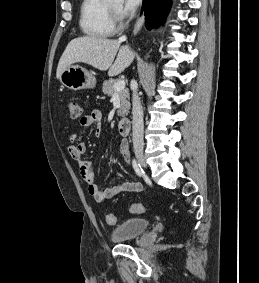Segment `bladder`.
<instances>
[{"label": "bladder", "instance_id": "1", "mask_svg": "<svg viewBox=\"0 0 259 283\" xmlns=\"http://www.w3.org/2000/svg\"><path fill=\"white\" fill-rule=\"evenodd\" d=\"M149 228V221L144 218H129L117 225L112 230V238L115 241H125L133 239Z\"/></svg>", "mask_w": 259, "mask_h": 283}]
</instances>
